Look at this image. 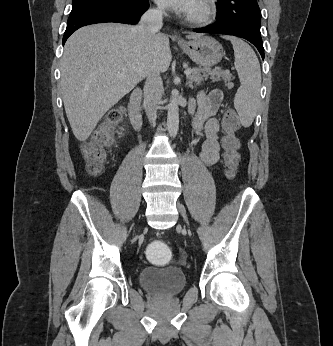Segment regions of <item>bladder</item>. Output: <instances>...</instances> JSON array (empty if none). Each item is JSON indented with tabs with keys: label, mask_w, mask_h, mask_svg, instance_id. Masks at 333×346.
<instances>
[{
	"label": "bladder",
	"mask_w": 333,
	"mask_h": 346,
	"mask_svg": "<svg viewBox=\"0 0 333 346\" xmlns=\"http://www.w3.org/2000/svg\"><path fill=\"white\" fill-rule=\"evenodd\" d=\"M138 282L145 291L159 296L172 297L186 286V277L178 269L147 266L140 270Z\"/></svg>",
	"instance_id": "1"
}]
</instances>
